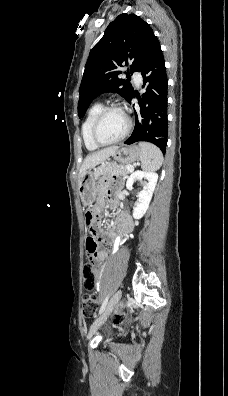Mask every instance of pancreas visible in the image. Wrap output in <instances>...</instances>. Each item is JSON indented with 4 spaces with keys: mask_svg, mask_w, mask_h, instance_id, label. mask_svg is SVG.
<instances>
[{
    "mask_svg": "<svg viewBox=\"0 0 228 396\" xmlns=\"http://www.w3.org/2000/svg\"><path fill=\"white\" fill-rule=\"evenodd\" d=\"M129 171L126 169V166L118 165L116 163H108L99 168V172L97 178L99 176H123L127 177Z\"/></svg>",
    "mask_w": 228,
    "mask_h": 396,
    "instance_id": "obj_1",
    "label": "pancreas"
}]
</instances>
